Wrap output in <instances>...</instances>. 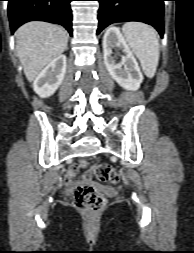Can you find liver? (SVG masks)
Wrapping results in <instances>:
<instances>
[{"label":"liver","mask_w":194,"mask_h":253,"mask_svg":"<svg viewBox=\"0 0 194 253\" xmlns=\"http://www.w3.org/2000/svg\"><path fill=\"white\" fill-rule=\"evenodd\" d=\"M15 36L17 55L29 82L61 55L68 43L67 33L62 27L40 21L22 25Z\"/></svg>","instance_id":"6515ba94"}]
</instances>
